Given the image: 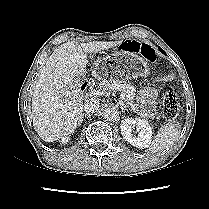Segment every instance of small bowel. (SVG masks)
Returning <instances> with one entry per match:
<instances>
[{"label":"small bowel","instance_id":"c3829d8e","mask_svg":"<svg viewBox=\"0 0 209 209\" xmlns=\"http://www.w3.org/2000/svg\"><path fill=\"white\" fill-rule=\"evenodd\" d=\"M133 86L136 89H143L146 86V79L143 76H136L133 79ZM158 91L155 88H145L139 94V102L155 107L157 104Z\"/></svg>","mask_w":209,"mask_h":209}]
</instances>
